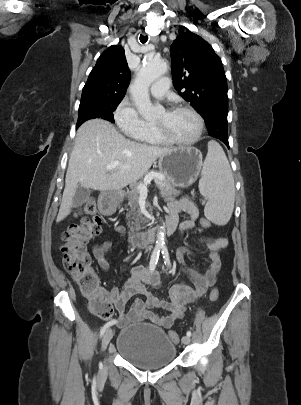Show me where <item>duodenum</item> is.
Masks as SVG:
<instances>
[{
	"mask_svg": "<svg viewBox=\"0 0 301 405\" xmlns=\"http://www.w3.org/2000/svg\"><path fill=\"white\" fill-rule=\"evenodd\" d=\"M122 190H104L99 195L98 206L104 219H111L118 206L122 204ZM177 228V221L168 219L163 228H155L149 231L137 233L131 236L130 242L136 248H144L152 244L159 232L171 235Z\"/></svg>",
	"mask_w": 301,
	"mask_h": 405,
	"instance_id": "obj_1",
	"label": "duodenum"
}]
</instances>
